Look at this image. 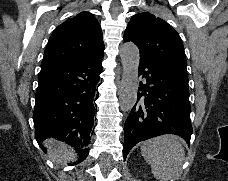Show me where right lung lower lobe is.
Returning <instances> with one entry per match:
<instances>
[{
	"label": "right lung lower lobe",
	"instance_id": "obj_1",
	"mask_svg": "<svg viewBox=\"0 0 228 181\" xmlns=\"http://www.w3.org/2000/svg\"><path fill=\"white\" fill-rule=\"evenodd\" d=\"M103 54L41 69L33 113L35 138L57 137L73 146L81 159L89 148Z\"/></svg>",
	"mask_w": 228,
	"mask_h": 181
}]
</instances>
